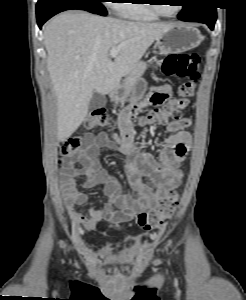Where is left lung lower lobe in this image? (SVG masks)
Returning a JSON list of instances; mask_svg holds the SVG:
<instances>
[{
	"label": "left lung lower lobe",
	"mask_w": 246,
	"mask_h": 300,
	"mask_svg": "<svg viewBox=\"0 0 246 300\" xmlns=\"http://www.w3.org/2000/svg\"><path fill=\"white\" fill-rule=\"evenodd\" d=\"M178 18L182 21L205 23L213 30L217 19L216 7L207 4L189 14L178 16Z\"/></svg>",
	"instance_id": "obj_1"
}]
</instances>
